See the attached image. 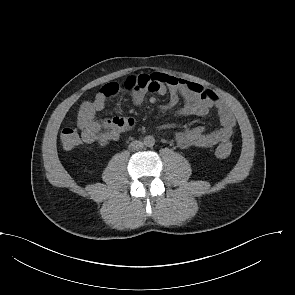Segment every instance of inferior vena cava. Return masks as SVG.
Listing matches in <instances>:
<instances>
[{
    "label": "inferior vena cava",
    "instance_id": "602c4592",
    "mask_svg": "<svg viewBox=\"0 0 295 295\" xmlns=\"http://www.w3.org/2000/svg\"><path fill=\"white\" fill-rule=\"evenodd\" d=\"M143 148V143L141 141H132L129 145V150L138 151Z\"/></svg>",
    "mask_w": 295,
    "mask_h": 295
}]
</instances>
